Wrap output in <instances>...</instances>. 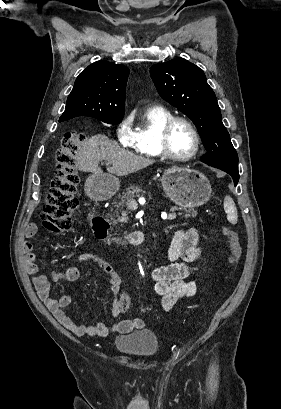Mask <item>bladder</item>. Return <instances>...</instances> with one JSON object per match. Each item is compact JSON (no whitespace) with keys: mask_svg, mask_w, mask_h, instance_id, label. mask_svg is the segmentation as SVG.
I'll list each match as a JSON object with an SVG mask.
<instances>
[{"mask_svg":"<svg viewBox=\"0 0 281 409\" xmlns=\"http://www.w3.org/2000/svg\"><path fill=\"white\" fill-rule=\"evenodd\" d=\"M113 347L119 354L142 360L154 358L161 350L158 336L146 327L132 329L127 335H116Z\"/></svg>","mask_w":281,"mask_h":409,"instance_id":"1","label":"bladder"}]
</instances>
